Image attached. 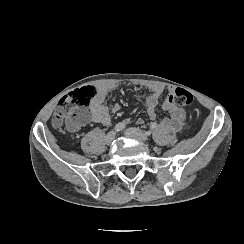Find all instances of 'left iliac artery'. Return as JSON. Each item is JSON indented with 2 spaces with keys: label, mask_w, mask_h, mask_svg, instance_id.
I'll return each mask as SVG.
<instances>
[{
  "label": "left iliac artery",
  "mask_w": 244,
  "mask_h": 244,
  "mask_svg": "<svg viewBox=\"0 0 244 244\" xmlns=\"http://www.w3.org/2000/svg\"><path fill=\"white\" fill-rule=\"evenodd\" d=\"M157 128V123H155V122H153V123H151V125H150V129L151 130H155ZM149 132H146V134H148Z\"/></svg>",
  "instance_id": "obj_1"
}]
</instances>
